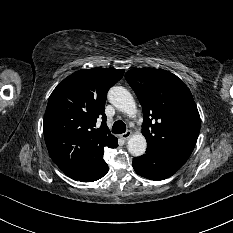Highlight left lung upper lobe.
I'll return each mask as SVG.
<instances>
[{"instance_id": "left-lung-upper-lobe-1", "label": "left lung upper lobe", "mask_w": 233, "mask_h": 233, "mask_svg": "<svg viewBox=\"0 0 233 233\" xmlns=\"http://www.w3.org/2000/svg\"><path fill=\"white\" fill-rule=\"evenodd\" d=\"M125 78L143 107L147 148L189 158L200 131V116L188 87L162 69H131Z\"/></svg>"}]
</instances>
